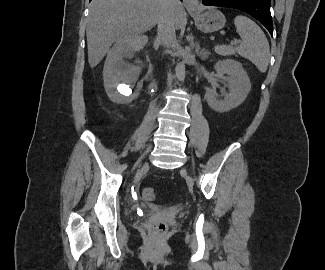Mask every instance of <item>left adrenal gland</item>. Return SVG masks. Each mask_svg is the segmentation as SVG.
Segmentation results:
<instances>
[{
	"label": "left adrenal gland",
	"mask_w": 325,
	"mask_h": 270,
	"mask_svg": "<svg viewBox=\"0 0 325 270\" xmlns=\"http://www.w3.org/2000/svg\"><path fill=\"white\" fill-rule=\"evenodd\" d=\"M196 53L198 56H200L202 59L207 58V56L210 54L208 51L205 49H201L199 43L196 45Z\"/></svg>",
	"instance_id": "obj_1"
}]
</instances>
